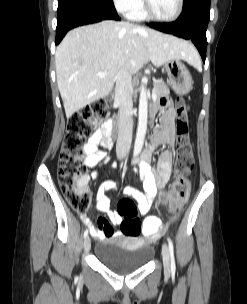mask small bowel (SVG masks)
Wrapping results in <instances>:
<instances>
[{
    "label": "small bowel",
    "mask_w": 247,
    "mask_h": 304,
    "mask_svg": "<svg viewBox=\"0 0 247 304\" xmlns=\"http://www.w3.org/2000/svg\"><path fill=\"white\" fill-rule=\"evenodd\" d=\"M160 110L162 127L154 132L153 144L145 152L134 160L135 171L138 173L142 183V190L134 187H126L124 194L134 198L139 207V212L146 215L158 194V191L164 188L171 179L173 147L175 144V109L171 102L163 98L157 105L152 108L156 112ZM113 123L111 120L105 121L100 128L95 130L83 147L84 164L87 167L95 168L106 157V152L100 147H111V132ZM168 145L171 149L161 152L156 169H152L149 161L152 152L157 146ZM97 172L92 173V178H96ZM89 178L86 176V183ZM114 189V183L107 181L103 183L97 191V208L100 212L105 213L108 219L100 218L97 225L90 223L88 218H84V223L88 226L91 235L97 239L104 240L110 237H121L123 233L113 232L112 225L121 223L122 219L110 209L111 198L106 193Z\"/></svg>",
    "instance_id": "small-bowel-1"
}]
</instances>
